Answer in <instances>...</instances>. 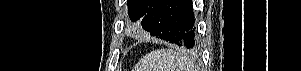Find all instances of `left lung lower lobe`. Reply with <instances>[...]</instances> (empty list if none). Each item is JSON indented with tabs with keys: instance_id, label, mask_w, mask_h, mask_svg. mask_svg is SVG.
<instances>
[{
	"instance_id": "obj_1",
	"label": "left lung lower lobe",
	"mask_w": 301,
	"mask_h": 71,
	"mask_svg": "<svg viewBox=\"0 0 301 71\" xmlns=\"http://www.w3.org/2000/svg\"><path fill=\"white\" fill-rule=\"evenodd\" d=\"M141 26L157 38L188 49L197 47L196 20L191 0H158L142 18Z\"/></svg>"
}]
</instances>
